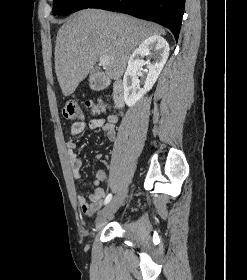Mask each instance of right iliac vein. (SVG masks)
<instances>
[{
  "mask_svg": "<svg viewBox=\"0 0 247 280\" xmlns=\"http://www.w3.org/2000/svg\"><path fill=\"white\" fill-rule=\"evenodd\" d=\"M126 196V191H120L108 203V205L100 212L96 219V227H100L110 216H112L122 204Z\"/></svg>",
  "mask_w": 247,
  "mask_h": 280,
  "instance_id": "1",
  "label": "right iliac vein"
}]
</instances>
